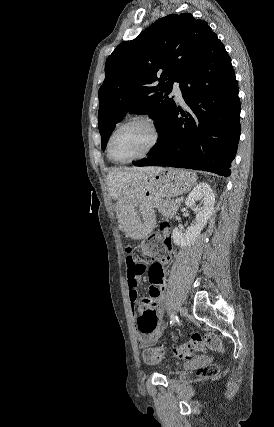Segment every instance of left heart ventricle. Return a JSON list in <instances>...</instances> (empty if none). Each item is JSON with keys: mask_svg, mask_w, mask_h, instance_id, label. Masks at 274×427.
<instances>
[{"mask_svg": "<svg viewBox=\"0 0 274 427\" xmlns=\"http://www.w3.org/2000/svg\"><path fill=\"white\" fill-rule=\"evenodd\" d=\"M153 141V132L144 122H134L116 132L112 152L121 160H129L143 153Z\"/></svg>", "mask_w": 274, "mask_h": 427, "instance_id": "1", "label": "left heart ventricle"}]
</instances>
